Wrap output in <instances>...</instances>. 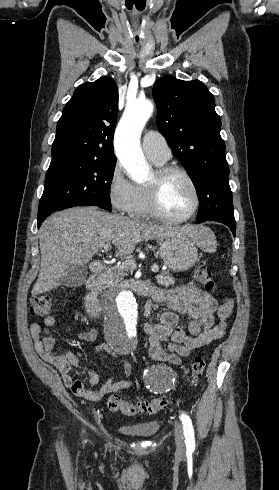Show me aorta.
<instances>
[{
	"instance_id": "1",
	"label": "aorta",
	"mask_w": 279,
	"mask_h": 490,
	"mask_svg": "<svg viewBox=\"0 0 279 490\" xmlns=\"http://www.w3.org/2000/svg\"><path fill=\"white\" fill-rule=\"evenodd\" d=\"M149 100L129 103L114 135V148L130 178L142 182L148 178L149 165L140 147L142 130L153 113ZM138 304L130 290H120L108 300L104 323L108 341L118 350L126 351L138 336Z\"/></svg>"
}]
</instances>
